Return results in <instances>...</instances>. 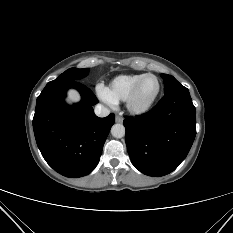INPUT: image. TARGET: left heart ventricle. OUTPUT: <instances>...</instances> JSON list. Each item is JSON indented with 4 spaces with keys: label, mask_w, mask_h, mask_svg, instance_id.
<instances>
[{
    "label": "left heart ventricle",
    "mask_w": 233,
    "mask_h": 233,
    "mask_svg": "<svg viewBox=\"0 0 233 233\" xmlns=\"http://www.w3.org/2000/svg\"><path fill=\"white\" fill-rule=\"evenodd\" d=\"M156 90H157V81L152 77L146 78L141 83L140 88L138 90L135 100L136 104L144 105L147 102H149L152 99V97L155 95Z\"/></svg>",
    "instance_id": "left-heart-ventricle-1"
}]
</instances>
